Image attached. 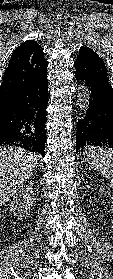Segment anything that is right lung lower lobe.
I'll use <instances>...</instances> for the list:
<instances>
[{
  "label": "right lung lower lobe",
  "mask_w": 113,
  "mask_h": 279,
  "mask_svg": "<svg viewBox=\"0 0 113 279\" xmlns=\"http://www.w3.org/2000/svg\"><path fill=\"white\" fill-rule=\"evenodd\" d=\"M47 68L0 111V145H15L44 154Z\"/></svg>",
  "instance_id": "right-lung-lower-lobe-1"
}]
</instances>
